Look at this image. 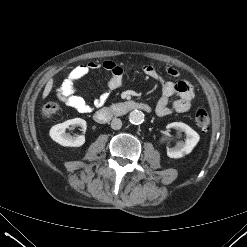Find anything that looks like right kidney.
Returning <instances> with one entry per match:
<instances>
[{
	"label": "right kidney",
	"instance_id": "1",
	"mask_svg": "<svg viewBox=\"0 0 247 247\" xmlns=\"http://www.w3.org/2000/svg\"><path fill=\"white\" fill-rule=\"evenodd\" d=\"M72 126L71 128L74 129L75 126L82 127V131H86V121L81 118H74L67 120L63 123L54 125L50 131L49 135L58 144L67 147H80L85 143L84 135H80L77 137L71 136L68 133H65L66 129Z\"/></svg>",
	"mask_w": 247,
	"mask_h": 247
}]
</instances>
